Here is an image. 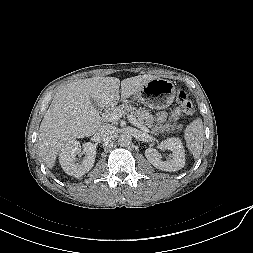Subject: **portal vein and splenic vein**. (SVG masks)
Masks as SVG:
<instances>
[{
  "mask_svg": "<svg viewBox=\"0 0 253 253\" xmlns=\"http://www.w3.org/2000/svg\"><path fill=\"white\" fill-rule=\"evenodd\" d=\"M122 117L121 114L115 112V111H111L105 114L104 118L107 121L113 122V121H117ZM127 119L130 123H132L134 126H136L137 128L141 129L143 132L148 133L149 129L143 125H141L136 118L133 115H128Z\"/></svg>",
  "mask_w": 253,
  "mask_h": 253,
  "instance_id": "portal-vein-and-splenic-vein-1",
  "label": "portal vein and splenic vein"
}]
</instances>
